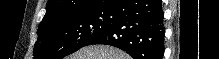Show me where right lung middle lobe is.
<instances>
[{
    "mask_svg": "<svg viewBox=\"0 0 219 59\" xmlns=\"http://www.w3.org/2000/svg\"><path fill=\"white\" fill-rule=\"evenodd\" d=\"M113 9L57 18L40 24L34 59H62L107 29Z\"/></svg>",
    "mask_w": 219,
    "mask_h": 59,
    "instance_id": "dd1d6c3e",
    "label": "right lung middle lobe"
}]
</instances>
